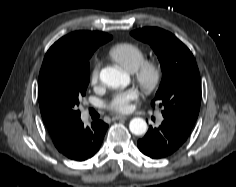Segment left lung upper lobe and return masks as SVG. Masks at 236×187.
Masks as SVG:
<instances>
[{"mask_svg":"<svg viewBox=\"0 0 236 187\" xmlns=\"http://www.w3.org/2000/svg\"><path fill=\"white\" fill-rule=\"evenodd\" d=\"M131 35L149 43L161 64L162 81L152 105L158 101L164 117L192 128L201 100V79L193 54L172 33L160 28L145 27Z\"/></svg>","mask_w":236,"mask_h":187,"instance_id":"left-lung-upper-lobe-1","label":"left lung upper lobe"}]
</instances>
